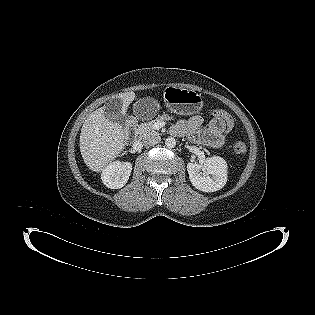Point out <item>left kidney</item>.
<instances>
[{
  "label": "left kidney",
  "mask_w": 315,
  "mask_h": 315,
  "mask_svg": "<svg viewBox=\"0 0 315 315\" xmlns=\"http://www.w3.org/2000/svg\"><path fill=\"white\" fill-rule=\"evenodd\" d=\"M187 171L192 185L203 192H214L227 182V163L219 157L206 158L202 163H188Z\"/></svg>",
  "instance_id": "left-kidney-1"
}]
</instances>
